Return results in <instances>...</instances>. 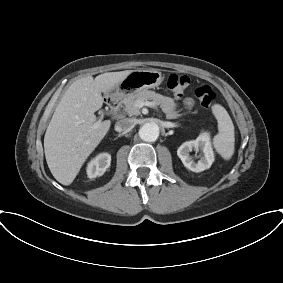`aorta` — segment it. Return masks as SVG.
<instances>
[{
    "label": "aorta",
    "mask_w": 283,
    "mask_h": 283,
    "mask_svg": "<svg viewBox=\"0 0 283 283\" xmlns=\"http://www.w3.org/2000/svg\"><path fill=\"white\" fill-rule=\"evenodd\" d=\"M159 126L156 122H147L139 129V136L143 141L153 142L159 137Z\"/></svg>",
    "instance_id": "762f6f07"
}]
</instances>
